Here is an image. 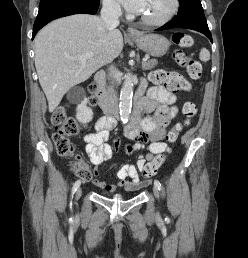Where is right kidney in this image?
<instances>
[{"label": "right kidney", "instance_id": "ca27d5eb", "mask_svg": "<svg viewBox=\"0 0 248 258\" xmlns=\"http://www.w3.org/2000/svg\"><path fill=\"white\" fill-rule=\"evenodd\" d=\"M68 98L71 101L80 102L77 106V114L76 117L81 123H88L93 118V111L89 107H87V99L85 97V92L81 88H75L71 90L68 94Z\"/></svg>", "mask_w": 248, "mask_h": 258}]
</instances>
